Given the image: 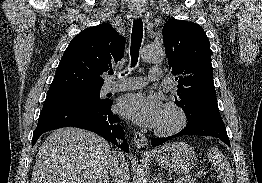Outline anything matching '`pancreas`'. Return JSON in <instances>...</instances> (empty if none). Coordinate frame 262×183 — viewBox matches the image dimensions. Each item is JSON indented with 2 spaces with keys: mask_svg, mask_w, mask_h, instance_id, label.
Masks as SVG:
<instances>
[{
  "mask_svg": "<svg viewBox=\"0 0 262 183\" xmlns=\"http://www.w3.org/2000/svg\"><path fill=\"white\" fill-rule=\"evenodd\" d=\"M181 183H196L193 179H184Z\"/></svg>",
  "mask_w": 262,
  "mask_h": 183,
  "instance_id": "obj_1",
  "label": "pancreas"
}]
</instances>
